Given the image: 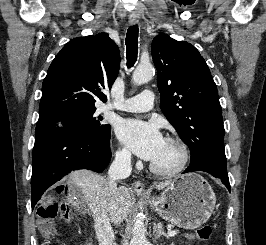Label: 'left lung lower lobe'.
Masks as SVG:
<instances>
[{
    "label": "left lung lower lobe",
    "mask_w": 266,
    "mask_h": 245,
    "mask_svg": "<svg viewBox=\"0 0 266 245\" xmlns=\"http://www.w3.org/2000/svg\"><path fill=\"white\" fill-rule=\"evenodd\" d=\"M194 171H204L213 175L214 177L220 178L222 183L230 191V184L226 167L215 165L209 162H201L194 165H190L183 173Z\"/></svg>",
    "instance_id": "0a47b994"
}]
</instances>
